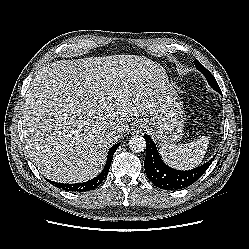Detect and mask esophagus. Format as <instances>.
Here are the masks:
<instances>
[{
    "instance_id": "obj_1",
    "label": "esophagus",
    "mask_w": 249,
    "mask_h": 249,
    "mask_svg": "<svg viewBox=\"0 0 249 249\" xmlns=\"http://www.w3.org/2000/svg\"><path fill=\"white\" fill-rule=\"evenodd\" d=\"M145 128V124L144 123H138L137 125H136V130H137V132H141L143 129Z\"/></svg>"
}]
</instances>
